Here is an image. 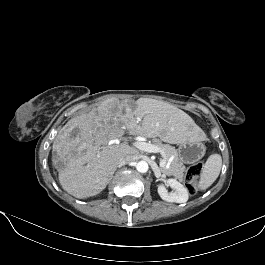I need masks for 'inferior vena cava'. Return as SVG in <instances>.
<instances>
[{
    "instance_id": "1",
    "label": "inferior vena cava",
    "mask_w": 265,
    "mask_h": 265,
    "mask_svg": "<svg viewBox=\"0 0 265 265\" xmlns=\"http://www.w3.org/2000/svg\"><path fill=\"white\" fill-rule=\"evenodd\" d=\"M134 160H135V156L134 155H126L118 162L117 166L121 167V166H123L125 164H128V163L134 161Z\"/></svg>"
}]
</instances>
